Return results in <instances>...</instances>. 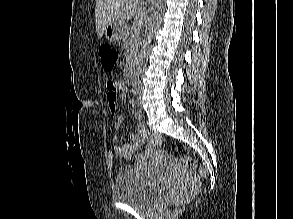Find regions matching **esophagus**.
Masks as SVG:
<instances>
[{"label": "esophagus", "mask_w": 293, "mask_h": 219, "mask_svg": "<svg viewBox=\"0 0 293 219\" xmlns=\"http://www.w3.org/2000/svg\"><path fill=\"white\" fill-rule=\"evenodd\" d=\"M146 2H150V0H146Z\"/></svg>", "instance_id": "obj_1"}]
</instances>
